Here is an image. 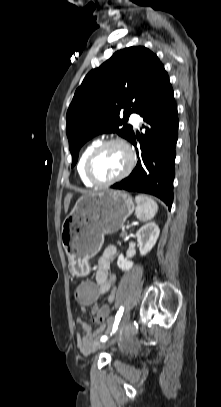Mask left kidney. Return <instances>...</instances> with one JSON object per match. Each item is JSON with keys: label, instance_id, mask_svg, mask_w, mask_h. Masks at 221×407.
Returning a JSON list of instances; mask_svg holds the SVG:
<instances>
[{"label": "left kidney", "instance_id": "left-kidney-1", "mask_svg": "<svg viewBox=\"0 0 221 407\" xmlns=\"http://www.w3.org/2000/svg\"><path fill=\"white\" fill-rule=\"evenodd\" d=\"M160 234V229L155 222H148L142 226L136 233L140 254L146 255L155 245ZM117 265L122 271H129L133 267V262L124 258L120 254Z\"/></svg>", "mask_w": 221, "mask_h": 407}]
</instances>
